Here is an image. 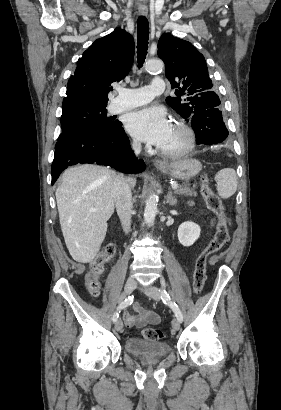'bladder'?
I'll return each instance as SVG.
<instances>
[{"label":"bladder","instance_id":"1","mask_svg":"<svg viewBox=\"0 0 281 410\" xmlns=\"http://www.w3.org/2000/svg\"><path fill=\"white\" fill-rule=\"evenodd\" d=\"M170 345L166 342L144 340L139 337H128L125 350L130 355L144 359H154L166 356L170 352Z\"/></svg>","mask_w":281,"mask_h":410}]
</instances>
